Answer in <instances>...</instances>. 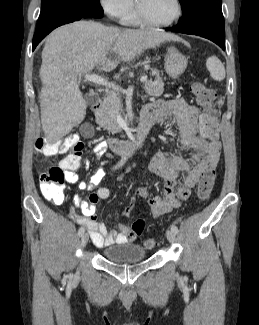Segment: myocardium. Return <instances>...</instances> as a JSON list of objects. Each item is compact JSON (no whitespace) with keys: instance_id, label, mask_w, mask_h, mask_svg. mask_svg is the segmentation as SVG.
I'll list each match as a JSON object with an SVG mask.
<instances>
[{"instance_id":"obj_1","label":"myocardium","mask_w":259,"mask_h":325,"mask_svg":"<svg viewBox=\"0 0 259 325\" xmlns=\"http://www.w3.org/2000/svg\"><path fill=\"white\" fill-rule=\"evenodd\" d=\"M173 3L175 5L174 15L169 20L160 22L149 19L143 12L140 0H136L137 17L143 24L151 27H169L180 19L183 12L182 3L180 0H173Z\"/></svg>"}]
</instances>
